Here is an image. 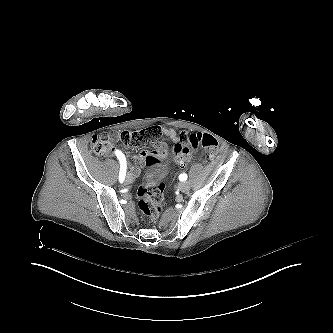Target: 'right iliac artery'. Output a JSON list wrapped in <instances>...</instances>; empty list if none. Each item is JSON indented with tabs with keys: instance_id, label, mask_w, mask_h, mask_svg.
<instances>
[{
	"instance_id": "82829eb1",
	"label": "right iliac artery",
	"mask_w": 333,
	"mask_h": 333,
	"mask_svg": "<svg viewBox=\"0 0 333 333\" xmlns=\"http://www.w3.org/2000/svg\"><path fill=\"white\" fill-rule=\"evenodd\" d=\"M119 161H120V172H119V181L120 182H123L124 179H125V175H126V159H125V156L124 154L119 151V150H116L115 151Z\"/></svg>"
}]
</instances>
